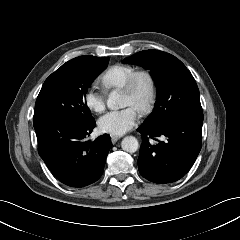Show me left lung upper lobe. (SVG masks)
<instances>
[{
	"mask_svg": "<svg viewBox=\"0 0 240 240\" xmlns=\"http://www.w3.org/2000/svg\"><path fill=\"white\" fill-rule=\"evenodd\" d=\"M124 62L149 69L156 83L155 107L143 124L159 125L181 117L203 120L195 79L175 56L159 50H144L125 58Z\"/></svg>",
	"mask_w": 240,
	"mask_h": 240,
	"instance_id": "5c2ea615",
	"label": "left lung upper lobe"
}]
</instances>
